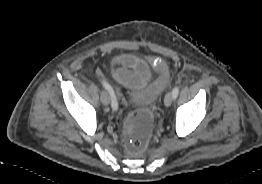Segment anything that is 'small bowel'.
<instances>
[{
  "instance_id": "1",
  "label": "small bowel",
  "mask_w": 262,
  "mask_h": 184,
  "mask_svg": "<svg viewBox=\"0 0 262 184\" xmlns=\"http://www.w3.org/2000/svg\"><path fill=\"white\" fill-rule=\"evenodd\" d=\"M114 64L118 67L111 70L115 81L127 87H141L150 77L147 65L139 58L130 54L115 57Z\"/></svg>"
}]
</instances>
